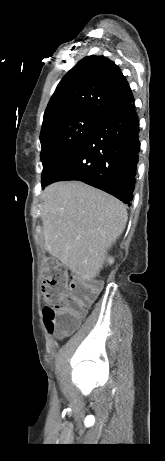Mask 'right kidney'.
<instances>
[{"label": "right kidney", "mask_w": 165, "mask_h": 461, "mask_svg": "<svg viewBox=\"0 0 165 461\" xmlns=\"http://www.w3.org/2000/svg\"><path fill=\"white\" fill-rule=\"evenodd\" d=\"M109 263H113V259H109Z\"/></svg>", "instance_id": "obj_1"}]
</instances>
